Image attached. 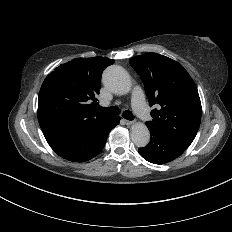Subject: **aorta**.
Wrapping results in <instances>:
<instances>
[{
  "label": "aorta",
  "instance_id": "762f6f07",
  "mask_svg": "<svg viewBox=\"0 0 232 232\" xmlns=\"http://www.w3.org/2000/svg\"><path fill=\"white\" fill-rule=\"evenodd\" d=\"M103 84L112 93L124 95L131 90V79L127 71L121 66L112 65L105 69L102 76ZM130 136L138 147L149 143L150 132L144 123L137 122L131 126Z\"/></svg>",
  "mask_w": 232,
  "mask_h": 232
}]
</instances>
